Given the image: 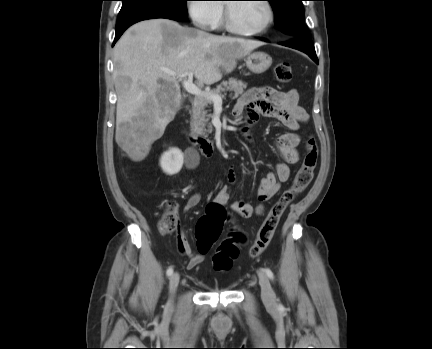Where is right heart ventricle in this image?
<instances>
[{
  "mask_svg": "<svg viewBox=\"0 0 432 349\" xmlns=\"http://www.w3.org/2000/svg\"><path fill=\"white\" fill-rule=\"evenodd\" d=\"M222 25H223V15L221 13V15L217 21L216 27H221Z\"/></svg>",
  "mask_w": 432,
  "mask_h": 349,
  "instance_id": "right-heart-ventricle-1",
  "label": "right heart ventricle"
}]
</instances>
